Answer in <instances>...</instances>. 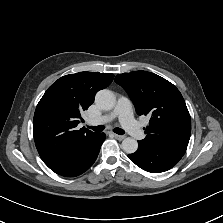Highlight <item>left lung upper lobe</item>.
Returning <instances> with one entry per match:
<instances>
[{"label":"left lung upper lobe","mask_w":223,"mask_h":223,"mask_svg":"<svg viewBox=\"0 0 223 223\" xmlns=\"http://www.w3.org/2000/svg\"><path fill=\"white\" fill-rule=\"evenodd\" d=\"M115 81L128 93L137 114L151 116L141 142L183 156L190 139L191 118L179 90L147 71L118 74Z\"/></svg>","instance_id":"obj_1"}]
</instances>
